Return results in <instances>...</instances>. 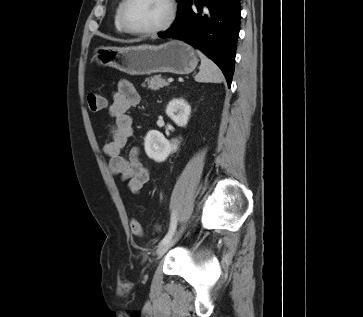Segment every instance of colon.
Returning <instances> with one entry per match:
<instances>
[{
	"label": "colon",
	"instance_id": "colon-1",
	"mask_svg": "<svg viewBox=\"0 0 363 317\" xmlns=\"http://www.w3.org/2000/svg\"><path fill=\"white\" fill-rule=\"evenodd\" d=\"M87 102L90 111L99 112L103 110L106 106V99L104 96L98 93H91L87 97ZM130 228L133 234L141 235L143 233V228L140 222L136 218L130 220Z\"/></svg>",
	"mask_w": 363,
	"mask_h": 317
}]
</instances>
